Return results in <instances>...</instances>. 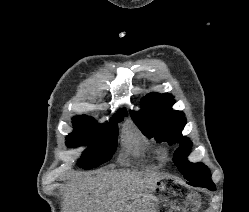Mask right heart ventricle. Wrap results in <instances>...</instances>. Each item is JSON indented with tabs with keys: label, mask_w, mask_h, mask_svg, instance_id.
Returning a JSON list of instances; mask_svg holds the SVG:
<instances>
[{
	"label": "right heart ventricle",
	"mask_w": 249,
	"mask_h": 212,
	"mask_svg": "<svg viewBox=\"0 0 249 212\" xmlns=\"http://www.w3.org/2000/svg\"><path fill=\"white\" fill-rule=\"evenodd\" d=\"M123 141L126 150L136 158H147L159 163L166 161V157L159 147L148 143L137 133L128 132Z\"/></svg>",
	"instance_id": "obj_1"
}]
</instances>
